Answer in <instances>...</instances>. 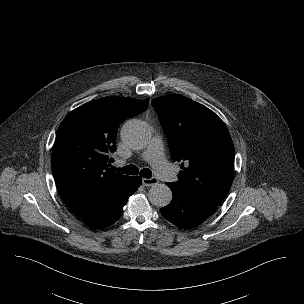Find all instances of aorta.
<instances>
[{
	"label": "aorta",
	"mask_w": 304,
	"mask_h": 304,
	"mask_svg": "<svg viewBox=\"0 0 304 304\" xmlns=\"http://www.w3.org/2000/svg\"><path fill=\"white\" fill-rule=\"evenodd\" d=\"M150 137L148 126L139 120L128 121L121 130L123 142L130 148H143ZM150 202L157 207H165L172 200V192L165 184L153 185L148 193Z\"/></svg>",
	"instance_id": "aorta-1"
}]
</instances>
